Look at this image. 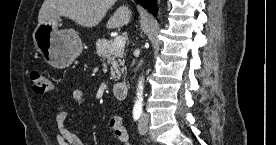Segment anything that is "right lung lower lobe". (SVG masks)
Returning <instances> with one entry per match:
<instances>
[{"label":"right lung lower lobe","mask_w":276,"mask_h":145,"mask_svg":"<svg viewBox=\"0 0 276 145\" xmlns=\"http://www.w3.org/2000/svg\"><path fill=\"white\" fill-rule=\"evenodd\" d=\"M136 3H140L141 6L152 12L153 15L157 14L156 0H134Z\"/></svg>","instance_id":"1"}]
</instances>
